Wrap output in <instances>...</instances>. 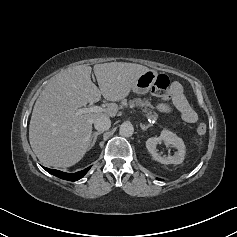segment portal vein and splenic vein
Instances as JSON below:
<instances>
[{
    "label": "portal vein and splenic vein",
    "instance_id": "18ae733b",
    "mask_svg": "<svg viewBox=\"0 0 237 237\" xmlns=\"http://www.w3.org/2000/svg\"><path fill=\"white\" fill-rule=\"evenodd\" d=\"M132 108V106H130ZM106 111V108L100 107V106H92L89 108H80L76 110L75 115H81L85 113H99V112H104Z\"/></svg>",
    "mask_w": 237,
    "mask_h": 237
}]
</instances>
